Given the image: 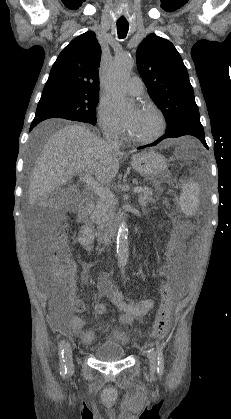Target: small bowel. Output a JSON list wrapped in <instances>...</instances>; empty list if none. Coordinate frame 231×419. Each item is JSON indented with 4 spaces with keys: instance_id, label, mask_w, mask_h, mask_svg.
<instances>
[{
    "instance_id": "small-bowel-1",
    "label": "small bowel",
    "mask_w": 231,
    "mask_h": 419,
    "mask_svg": "<svg viewBox=\"0 0 231 419\" xmlns=\"http://www.w3.org/2000/svg\"><path fill=\"white\" fill-rule=\"evenodd\" d=\"M79 242L82 247L86 250V252L91 255L93 251V232L92 230L83 227L80 235H79ZM177 256V252H176ZM176 258V257H175ZM174 259H169L165 255V264L162 269V275H167L171 270V267L174 264ZM91 261H85L81 265V281L83 283L87 282V274L88 268L90 266ZM72 293V304L73 308L77 312H82L84 310L83 302L78 299L74 294V285L70 287ZM97 291L99 298H107L109 299L119 310V323L121 325L131 324L134 321L140 320L143 316H145L150 310H152L156 304V301L153 299H145V300H131L125 297L121 292H119L116 286L106 278H100L97 282ZM100 306H104L103 304L96 305V312L98 313L97 309ZM99 314V313H98ZM85 320L79 316H73L68 322L63 323V329L75 336L80 338L85 343H90L94 339V333L92 331H84L83 328L85 326ZM121 335H124L120 331H116L114 333V337L118 339H122Z\"/></svg>"
}]
</instances>
